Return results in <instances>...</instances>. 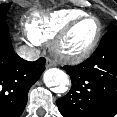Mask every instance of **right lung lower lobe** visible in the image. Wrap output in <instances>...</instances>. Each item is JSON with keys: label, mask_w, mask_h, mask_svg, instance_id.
<instances>
[{"label": "right lung lower lobe", "mask_w": 117, "mask_h": 117, "mask_svg": "<svg viewBox=\"0 0 117 117\" xmlns=\"http://www.w3.org/2000/svg\"><path fill=\"white\" fill-rule=\"evenodd\" d=\"M5 19L0 15V117H19L30 87L45 70V58L34 62L20 58L13 50Z\"/></svg>", "instance_id": "98d812e1"}]
</instances>
